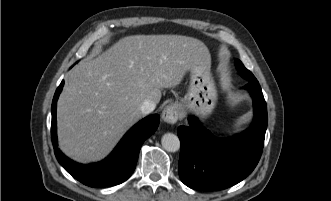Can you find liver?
I'll use <instances>...</instances> for the list:
<instances>
[{
    "label": "liver",
    "instance_id": "6515ba94",
    "mask_svg": "<svg viewBox=\"0 0 331 201\" xmlns=\"http://www.w3.org/2000/svg\"><path fill=\"white\" fill-rule=\"evenodd\" d=\"M206 45L182 35H134L77 65L57 104L60 149L77 162L106 157L143 116L145 100L155 104L162 88L180 84Z\"/></svg>",
    "mask_w": 331,
    "mask_h": 201
}]
</instances>
